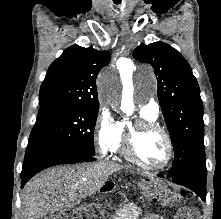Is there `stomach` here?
Here are the masks:
<instances>
[{
    "label": "stomach",
    "mask_w": 221,
    "mask_h": 219,
    "mask_svg": "<svg viewBox=\"0 0 221 219\" xmlns=\"http://www.w3.org/2000/svg\"><path fill=\"white\" fill-rule=\"evenodd\" d=\"M140 189L144 204H165L167 195H171V190L166 189L161 178H142Z\"/></svg>",
    "instance_id": "stomach-1"
}]
</instances>
